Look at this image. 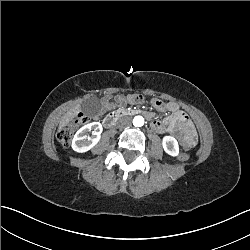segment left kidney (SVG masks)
Masks as SVG:
<instances>
[{
  "instance_id": "left-kidney-1",
  "label": "left kidney",
  "mask_w": 250,
  "mask_h": 250,
  "mask_svg": "<svg viewBox=\"0 0 250 250\" xmlns=\"http://www.w3.org/2000/svg\"><path fill=\"white\" fill-rule=\"evenodd\" d=\"M165 152L171 156H177L179 153V146L177 140L172 136H165L162 142Z\"/></svg>"
}]
</instances>
